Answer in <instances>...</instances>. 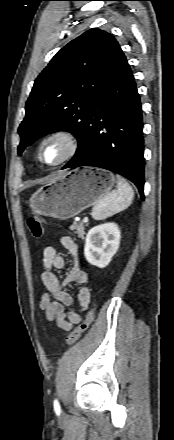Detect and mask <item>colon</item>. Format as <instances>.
I'll return each instance as SVG.
<instances>
[{"label":"colon","mask_w":174,"mask_h":440,"mask_svg":"<svg viewBox=\"0 0 174 440\" xmlns=\"http://www.w3.org/2000/svg\"><path fill=\"white\" fill-rule=\"evenodd\" d=\"M28 228L36 239H40L43 236L44 232V221L37 214H32L27 220ZM93 320V310L91 309L84 321H82L79 325H77L73 331L67 337V344L69 346L75 344L78 340L82 338L86 330L89 328L91 322Z\"/></svg>","instance_id":"obj_1"}]
</instances>
